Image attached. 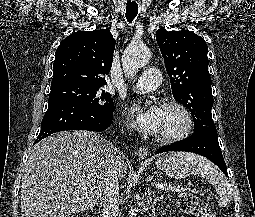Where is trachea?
Instances as JSON below:
<instances>
[{"instance_id": "3493384b", "label": "trachea", "mask_w": 255, "mask_h": 217, "mask_svg": "<svg viewBox=\"0 0 255 217\" xmlns=\"http://www.w3.org/2000/svg\"><path fill=\"white\" fill-rule=\"evenodd\" d=\"M138 14V4L137 3H127L126 6V19L129 23L135 19Z\"/></svg>"}]
</instances>
